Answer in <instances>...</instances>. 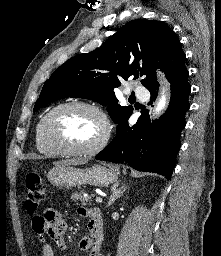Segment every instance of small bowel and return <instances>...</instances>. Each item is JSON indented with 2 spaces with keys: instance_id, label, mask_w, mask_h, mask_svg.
Here are the masks:
<instances>
[{
  "instance_id": "small-bowel-1",
  "label": "small bowel",
  "mask_w": 221,
  "mask_h": 256,
  "mask_svg": "<svg viewBox=\"0 0 221 256\" xmlns=\"http://www.w3.org/2000/svg\"><path fill=\"white\" fill-rule=\"evenodd\" d=\"M98 212L94 208L80 207L77 209L79 216L89 219L88 228L91 235L84 236L79 241V248L82 251H89V256H101V234L98 233L99 222L96 218ZM32 229L43 242L42 256H54L53 246L44 240L45 236H49L60 250L67 249L64 235L68 229V225L59 212L48 209L44 215L34 216L32 218Z\"/></svg>"
}]
</instances>
